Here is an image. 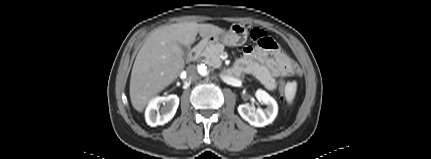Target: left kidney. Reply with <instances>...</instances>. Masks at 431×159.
I'll list each match as a JSON object with an SVG mask.
<instances>
[{"mask_svg": "<svg viewBox=\"0 0 431 159\" xmlns=\"http://www.w3.org/2000/svg\"><path fill=\"white\" fill-rule=\"evenodd\" d=\"M257 100L267 106L266 109L258 108L253 110L248 104L238 106V113L250 125L255 127H263L271 123L277 116L278 105L274 98H272L264 90H257L255 93Z\"/></svg>", "mask_w": 431, "mask_h": 159, "instance_id": "obj_1", "label": "left kidney"}]
</instances>
